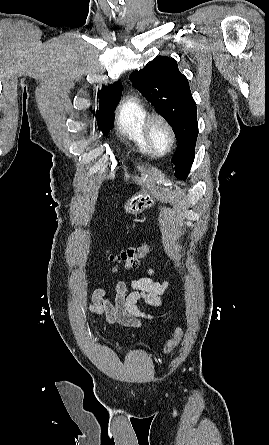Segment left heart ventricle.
Segmentation results:
<instances>
[{"label": "left heart ventricle", "mask_w": 269, "mask_h": 445, "mask_svg": "<svg viewBox=\"0 0 269 445\" xmlns=\"http://www.w3.org/2000/svg\"><path fill=\"white\" fill-rule=\"evenodd\" d=\"M152 140L161 152L165 151L169 146V135L161 124H155L152 129Z\"/></svg>", "instance_id": "left-heart-ventricle-1"}]
</instances>
